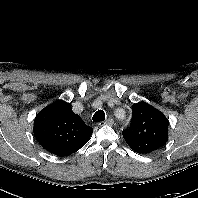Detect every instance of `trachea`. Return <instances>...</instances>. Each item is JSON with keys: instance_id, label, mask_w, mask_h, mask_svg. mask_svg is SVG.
I'll return each mask as SVG.
<instances>
[{"instance_id": "obj_1", "label": "trachea", "mask_w": 198, "mask_h": 198, "mask_svg": "<svg viewBox=\"0 0 198 198\" xmlns=\"http://www.w3.org/2000/svg\"><path fill=\"white\" fill-rule=\"evenodd\" d=\"M92 119H93L94 122L104 121L105 120L104 111L103 110H98L97 112H95Z\"/></svg>"}]
</instances>
